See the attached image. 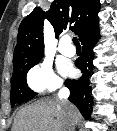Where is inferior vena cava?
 <instances>
[{"label": "inferior vena cava", "mask_w": 117, "mask_h": 131, "mask_svg": "<svg viewBox=\"0 0 117 131\" xmlns=\"http://www.w3.org/2000/svg\"><path fill=\"white\" fill-rule=\"evenodd\" d=\"M69 95H70V91L67 88L62 87L59 90L58 98L65 105H69V102H68ZM69 114H70V112H69ZM73 129H74V124L72 122H70L69 125H68L67 131H73Z\"/></svg>", "instance_id": "602c4592"}]
</instances>
